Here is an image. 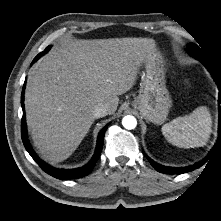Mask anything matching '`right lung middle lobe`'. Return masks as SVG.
Returning <instances> with one entry per match:
<instances>
[{
	"instance_id": "1",
	"label": "right lung middle lobe",
	"mask_w": 221,
	"mask_h": 221,
	"mask_svg": "<svg viewBox=\"0 0 221 221\" xmlns=\"http://www.w3.org/2000/svg\"><path fill=\"white\" fill-rule=\"evenodd\" d=\"M49 48H50V46L46 48L45 52H47Z\"/></svg>"
}]
</instances>
